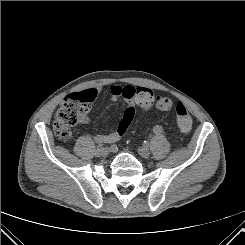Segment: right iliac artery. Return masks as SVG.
Masks as SVG:
<instances>
[{
    "label": "right iliac artery",
    "instance_id": "1",
    "mask_svg": "<svg viewBox=\"0 0 245 245\" xmlns=\"http://www.w3.org/2000/svg\"><path fill=\"white\" fill-rule=\"evenodd\" d=\"M98 147L100 148V150L102 149L103 153H108V148L107 146H103V143H100Z\"/></svg>",
    "mask_w": 245,
    "mask_h": 245
}]
</instances>
